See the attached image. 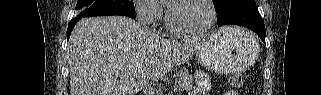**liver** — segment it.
<instances>
[{
	"instance_id": "1",
	"label": "liver",
	"mask_w": 321,
	"mask_h": 95,
	"mask_svg": "<svg viewBox=\"0 0 321 95\" xmlns=\"http://www.w3.org/2000/svg\"><path fill=\"white\" fill-rule=\"evenodd\" d=\"M204 40L171 41L123 16L90 17L68 45L71 95H135L188 61Z\"/></svg>"
}]
</instances>
